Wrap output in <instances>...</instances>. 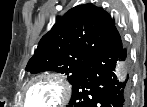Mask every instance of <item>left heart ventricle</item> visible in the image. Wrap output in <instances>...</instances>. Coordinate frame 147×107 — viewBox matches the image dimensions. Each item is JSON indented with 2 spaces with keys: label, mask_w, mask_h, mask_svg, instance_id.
<instances>
[{
  "label": "left heart ventricle",
  "mask_w": 147,
  "mask_h": 107,
  "mask_svg": "<svg viewBox=\"0 0 147 107\" xmlns=\"http://www.w3.org/2000/svg\"><path fill=\"white\" fill-rule=\"evenodd\" d=\"M58 97L57 88L51 83H39L34 85L28 92L27 103L30 106L46 107L56 101Z\"/></svg>",
  "instance_id": "1"
}]
</instances>
